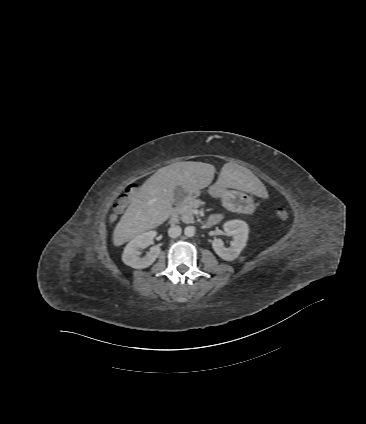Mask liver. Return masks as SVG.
Here are the masks:
<instances>
[{
  "mask_svg": "<svg viewBox=\"0 0 366 424\" xmlns=\"http://www.w3.org/2000/svg\"><path fill=\"white\" fill-rule=\"evenodd\" d=\"M215 167L203 162H177L160 168L138 190L113 232V244L121 246L148 230L163 224L172 212L174 190L186 194L206 188L214 178ZM217 183L226 188L262 196L265 186L247 168L234 163L223 165Z\"/></svg>",
  "mask_w": 366,
  "mask_h": 424,
  "instance_id": "1",
  "label": "liver"
}]
</instances>
